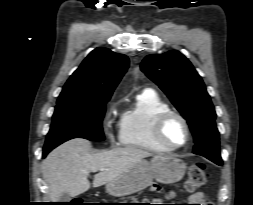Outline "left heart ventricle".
<instances>
[{
  "instance_id": "1",
  "label": "left heart ventricle",
  "mask_w": 253,
  "mask_h": 205,
  "mask_svg": "<svg viewBox=\"0 0 253 205\" xmlns=\"http://www.w3.org/2000/svg\"><path fill=\"white\" fill-rule=\"evenodd\" d=\"M166 140L172 144H181L185 140V129L178 119L168 122L164 130Z\"/></svg>"
}]
</instances>
